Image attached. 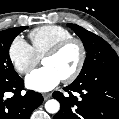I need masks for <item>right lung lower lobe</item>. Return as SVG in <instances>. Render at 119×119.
<instances>
[{"instance_id": "right-lung-lower-lobe-1", "label": "right lung lower lobe", "mask_w": 119, "mask_h": 119, "mask_svg": "<svg viewBox=\"0 0 119 119\" xmlns=\"http://www.w3.org/2000/svg\"><path fill=\"white\" fill-rule=\"evenodd\" d=\"M23 89L24 81L18 75L0 77V119H29L32 111L43 102L42 95L31 90L22 96ZM7 92L14 95L5 99Z\"/></svg>"}]
</instances>
